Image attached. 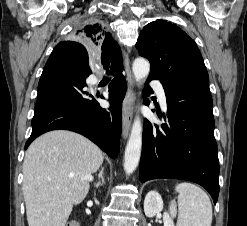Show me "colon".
I'll return each mask as SVG.
<instances>
[{
  "label": "colon",
  "mask_w": 247,
  "mask_h": 226,
  "mask_svg": "<svg viewBox=\"0 0 247 226\" xmlns=\"http://www.w3.org/2000/svg\"><path fill=\"white\" fill-rule=\"evenodd\" d=\"M67 226H79V224L76 221H70Z\"/></svg>",
  "instance_id": "1"
}]
</instances>
